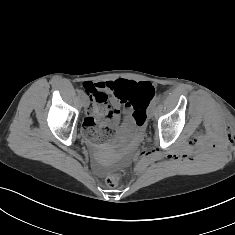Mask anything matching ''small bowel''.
<instances>
[{
    "label": "small bowel",
    "instance_id": "c3829d8e",
    "mask_svg": "<svg viewBox=\"0 0 235 235\" xmlns=\"http://www.w3.org/2000/svg\"><path fill=\"white\" fill-rule=\"evenodd\" d=\"M128 83H133L127 80H117V81H104L98 82L95 84L94 88L100 92V94L105 95V93H117L120 95L121 91H125ZM111 108L106 112V120L100 126H97L95 122H93L92 118H88L87 126L89 127L90 133L95 137H103V135L107 131H111L115 128V126L120 121V108H121V100L119 97L112 96L110 98ZM104 109L99 105H94L92 108L93 115H97L103 112ZM126 114V119L124 125H131L132 118L130 117L131 108L126 106L124 109Z\"/></svg>",
    "mask_w": 235,
    "mask_h": 235
}]
</instances>
